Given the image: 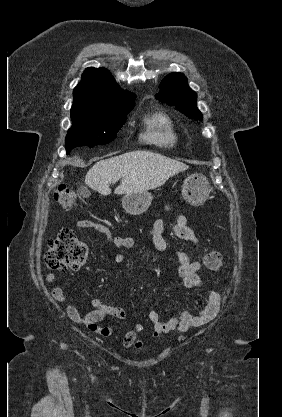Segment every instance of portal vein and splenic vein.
<instances>
[{
    "label": "portal vein and splenic vein",
    "mask_w": 282,
    "mask_h": 417,
    "mask_svg": "<svg viewBox=\"0 0 282 417\" xmlns=\"http://www.w3.org/2000/svg\"><path fill=\"white\" fill-rule=\"evenodd\" d=\"M118 178H114V180H112V182H117Z\"/></svg>",
    "instance_id": "1"
}]
</instances>
